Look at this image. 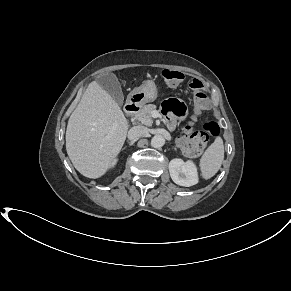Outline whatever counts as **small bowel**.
I'll use <instances>...</instances> for the list:
<instances>
[{"instance_id": "obj_1", "label": "small bowel", "mask_w": 291, "mask_h": 291, "mask_svg": "<svg viewBox=\"0 0 291 291\" xmlns=\"http://www.w3.org/2000/svg\"><path fill=\"white\" fill-rule=\"evenodd\" d=\"M184 111L183 104L175 99L169 100L165 105V113L170 127L175 124V116L181 115Z\"/></svg>"}]
</instances>
